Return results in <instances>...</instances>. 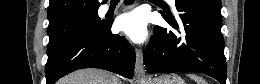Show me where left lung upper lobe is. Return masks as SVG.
I'll return each mask as SVG.
<instances>
[{
	"mask_svg": "<svg viewBox=\"0 0 260 84\" xmlns=\"http://www.w3.org/2000/svg\"><path fill=\"white\" fill-rule=\"evenodd\" d=\"M201 1L209 2V3L221 6V1L220 0H201Z\"/></svg>",
	"mask_w": 260,
	"mask_h": 84,
	"instance_id": "obj_1",
	"label": "left lung upper lobe"
}]
</instances>
